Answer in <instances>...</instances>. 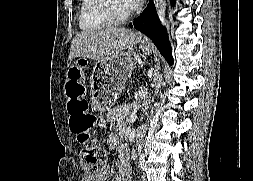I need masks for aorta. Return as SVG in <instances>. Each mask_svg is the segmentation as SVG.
<instances>
[{"label":"aorta","instance_id":"obj_1","mask_svg":"<svg viewBox=\"0 0 253 181\" xmlns=\"http://www.w3.org/2000/svg\"><path fill=\"white\" fill-rule=\"evenodd\" d=\"M155 5H156V12H157V15L159 17V20L161 22V24L163 26L166 25V8H167V3H166V0H155ZM146 148L148 147L147 145L145 146ZM143 152H142V156L144 155V148L142 149Z\"/></svg>","mask_w":253,"mask_h":181}]
</instances>
